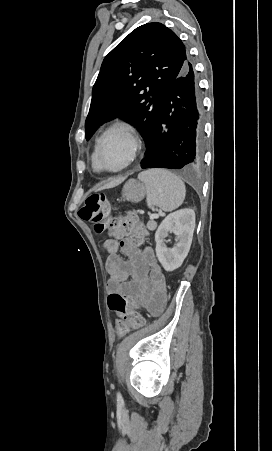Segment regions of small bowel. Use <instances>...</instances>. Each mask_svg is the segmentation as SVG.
Returning a JSON list of instances; mask_svg holds the SVG:
<instances>
[{
    "label": "small bowel",
    "mask_w": 272,
    "mask_h": 451,
    "mask_svg": "<svg viewBox=\"0 0 272 451\" xmlns=\"http://www.w3.org/2000/svg\"><path fill=\"white\" fill-rule=\"evenodd\" d=\"M118 229H125L127 236L117 238V229H110L109 238L103 245L107 255L105 269L108 274L109 293L125 295L135 302L148 300V307L153 313L162 311L167 301L165 278L154 250L149 246L138 249L131 240V230ZM119 251L127 259H124Z\"/></svg>",
    "instance_id": "1"
}]
</instances>
